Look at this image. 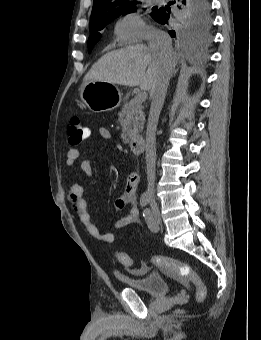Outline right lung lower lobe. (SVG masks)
Masks as SVG:
<instances>
[{
    "mask_svg": "<svg viewBox=\"0 0 261 340\" xmlns=\"http://www.w3.org/2000/svg\"><path fill=\"white\" fill-rule=\"evenodd\" d=\"M197 0H177V5L176 7L178 8L176 10V12H171V9L168 8H159L158 9V14L154 17V19L160 23V24H168L169 18L170 17H174L177 15V12L180 9L185 8L189 2H196ZM202 1V6L204 7V9L209 10L210 11V3L209 0H201ZM175 3V2H174ZM173 31V30H172ZM172 31H169V34L172 37H175V34L172 33ZM177 35V34H176Z\"/></svg>",
    "mask_w": 261,
    "mask_h": 340,
    "instance_id": "right-lung-lower-lobe-1",
    "label": "right lung lower lobe"
}]
</instances>
